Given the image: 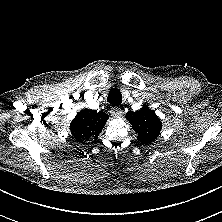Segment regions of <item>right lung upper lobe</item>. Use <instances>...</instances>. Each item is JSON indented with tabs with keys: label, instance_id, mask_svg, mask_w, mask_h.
I'll return each mask as SVG.
<instances>
[{
	"label": "right lung upper lobe",
	"instance_id": "obj_1",
	"mask_svg": "<svg viewBox=\"0 0 222 222\" xmlns=\"http://www.w3.org/2000/svg\"><path fill=\"white\" fill-rule=\"evenodd\" d=\"M108 115L102 110L83 109L77 113L70 124L72 136L80 142L94 138L97 140L108 119Z\"/></svg>",
	"mask_w": 222,
	"mask_h": 222
}]
</instances>
